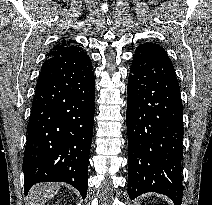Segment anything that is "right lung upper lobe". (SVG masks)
<instances>
[{"label": "right lung upper lobe", "mask_w": 212, "mask_h": 205, "mask_svg": "<svg viewBox=\"0 0 212 205\" xmlns=\"http://www.w3.org/2000/svg\"><path fill=\"white\" fill-rule=\"evenodd\" d=\"M72 54H85V52L79 45H76L75 41L63 39L50 50L48 58Z\"/></svg>", "instance_id": "right-lung-upper-lobe-1"}]
</instances>
